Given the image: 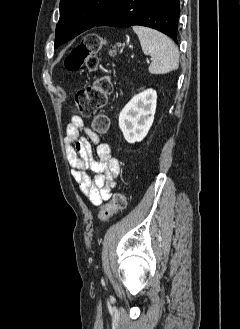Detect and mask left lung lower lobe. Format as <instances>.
I'll return each mask as SVG.
<instances>
[{
    "label": "left lung lower lobe",
    "instance_id": "obj_1",
    "mask_svg": "<svg viewBox=\"0 0 240 329\" xmlns=\"http://www.w3.org/2000/svg\"><path fill=\"white\" fill-rule=\"evenodd\" d=\"M179 0H119L95 26H147L177 43Z\"/></svg>",
    "mask_w": 240,
    "mask_h": 329
}]
</instances>
